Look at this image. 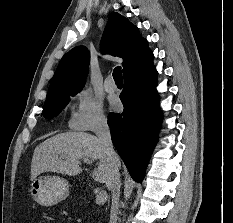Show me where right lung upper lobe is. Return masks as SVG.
<instances>
[{
    "mask_svg": "<svg viewBox=\"0 0 233 223\" xmlns=\"http://www.w3.org/2000/svg\"><path fill=\"white\" fill-rule=\"evenodd\" d=\"M101 49L123 59L124 78L153 64V53L148 42L127 18L112 13L105 27ZM89 52L78 46L66 53L52 78L44 105L56 103L78 93L88 73Z\"/></svg>",
    "mask_w": 233,
    "mask_h": 223,
    "instance_id": "obj_1",
    "label": "right lung upper lobe"
}]
</instances>
